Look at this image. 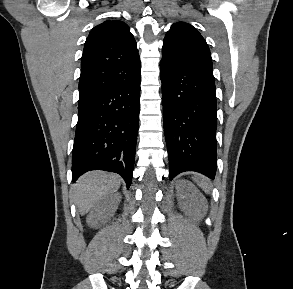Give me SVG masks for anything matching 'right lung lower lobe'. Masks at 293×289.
<instances>
[{
    "mask_svg": "<svg viewBox=\"0 0 293 289\" xmlns=\"http://www.w3.org/2000/svg\"><path fill=\"white\" fill-rule=\"evenodd\" d=\"M140 82L112 87L78 103L72 181L90 170L120 174L130 187L139 125Z\"/></svg>",
    "mask_w": 293,
    "mask_h": 289,
    "instance_id": "1",
    "label": "right lung lower lobe"
}]
</instances>
